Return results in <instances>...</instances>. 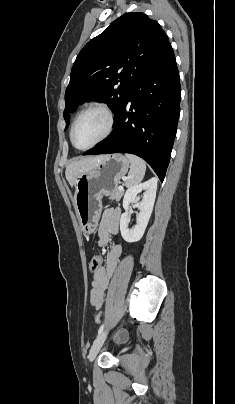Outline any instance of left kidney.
I'll use <instances>...</instances> for the list:
<instances>
[{"instance_id":"obj_1","label":"left kidney","mask_w":235,"mask_h":404,"mask_svg":"<svg viewBox=\"0 0 235 404\" xmlns=\"http://www.w3.org/2000/svg\"><path fill=\"white\" fill-rule=\"evenodd\" d=\"M157 183L158 180L156 178H151L144 183L134 185L127 189L123 199V208L125 209V212L121 215L120 219L121 235L126 242L133 243L142 238L153 210ZM142 191H145L143 198L138 202L139 198L137 195ZM133 202L137 203L139 213L136 216L135 227L129 229L128 221L130 214L128 213V209Z\"/></svg>"}]
</instances>
